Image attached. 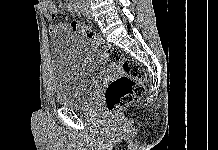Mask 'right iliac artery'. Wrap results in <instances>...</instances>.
I'll return each mask as SVG.
<instances>
[{"label":"right iliac artery","mask_w":218,"mask_h":150,"mask_svg":"<svg viewBox=\"0 0 218 150\" xmlns=\"http://www.w3.org/2000/svg\"><path fill=\"white\" fill-rule=\"evenodd\" d=\"M78 4V3H77ZM77 7L79 8V6L77 5ZM78 14L81 15L82 14V10L79 9Z\"/></svg>","instance_id":"right-iliac-artery-1"}]
</instances>
